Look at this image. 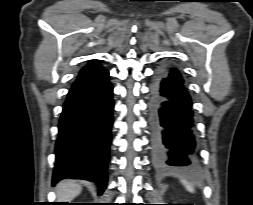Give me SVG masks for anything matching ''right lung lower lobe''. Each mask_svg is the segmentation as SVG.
<instances>
[{
	"mask_svg": "<svg viewBox=\"0 0 253 205\" xmlns=\"http://www.w3.org/2000/svg\"><path fill=\"white\" fill-rule=\"evenodd\" d=\"M113 87L109 72L93 61L79 72L63 106L55 146L53 184L63 178L94 181L101 195L113 125Z\"/></svg>",
	"mask_w": 253,
	"mask_h": 205,
	"instance_id": "right-lung-lower-lobe-1",
	"label": "right lung lower lobe"
}]
</instances>
